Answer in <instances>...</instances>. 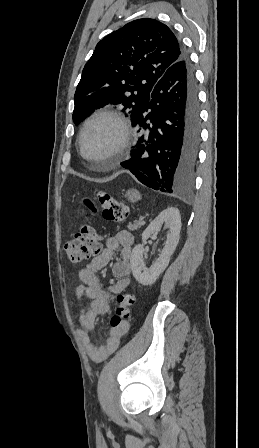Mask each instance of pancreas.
I'll list each match as a JSON object with an SVG mask.
<instances>
[{"instance_id":"cf45deb5","label":"pancreas","mask_w":259,"mask_h":448,"mask_svg":"<svg viewBox=\"0 0 259 448\" xmlns=\"http://www.w3.org/2000/svg\"><path fill=\"white\" fill-rule=\"evenodd\" d=\"M141 226H144V222H134V224H131V222H129L127 228L128 230H131V232H134V230H137V228H141Z\"/></svg>"}]
</instances>
